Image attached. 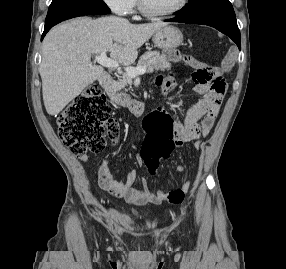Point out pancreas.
Masks as SVG:
<instances>
[{"label": "pancreas", "instance_id": "obj_1", "mask_svg": "<svg viewBox=\"0 0 286 269\" xmlns=\"http://www.w3.org/2000/svg\"><path fill=\"white\" fill-rule=\"evenodd\" d=\"M138 67H146V72L152 73L154 70L164 71L165 69H170L171 63L158 52H146L138 61ZM132 79L133 78L128 74H123L116 82L117 90L120 91L121 89H125L128 85L131 86ZM119 95L121 96L122 93Z\"/></svg>", "mask_w": 286, "mask_h": 269}]
</instances>
